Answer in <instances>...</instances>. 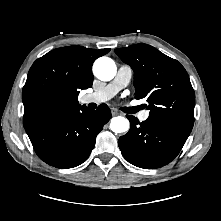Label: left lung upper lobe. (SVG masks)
<instances>
[{"label":"left lung upper lobe","instance_id":"obj_1","mask_svg":"<svg viewBox=\"0 0 221 221\" xmlns=\"http://www.w3.org/2000/svg\"><path fill=\"white\" fill-rule=\"evenodd\" d=\"M134 71L135 98H147L149 118L191 132L195 94L185 68L153 46L115 49Z\"/></svg>","mask_w":221,"mask_h":221}]
</instances>
